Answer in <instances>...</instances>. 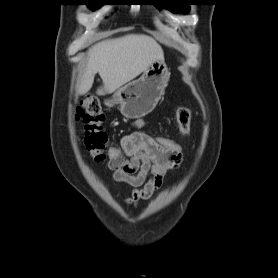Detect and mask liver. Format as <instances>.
I'll use <instances>...</instances> for the list:
<instances>
[{"label": "liver", "mask_w": 278, "mask_h": 278, "mask_svg": "<svg viewBox=\"0 0 278 278\" xmlns=\"http://www.w3.org/2000/svg\"><path fill=\"white\" fill-rule=\"evenodd\" d=\"M162 60L164 53L161 46L144 34L101 41L88 51L87 65L80 77L77 94L84 95L90 91L97 73L103 81L97 94L105 95L120 89L152 63Z\"/></svg>", "instance_id": "1"}]
</instances>
